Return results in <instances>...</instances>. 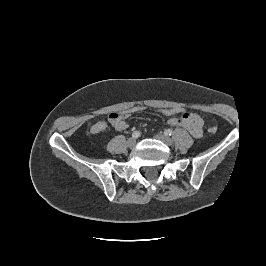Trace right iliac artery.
Segmentation results:
<instances>
[{"instance_id": "right-iliac-artery-1", "label": "right iliac artery", "mask_w": 266, "mask_h": 266, "mask_svg": "<svg viewBox=\"0 0 266 266\" xmlns=\"http://www.w3.org/2000/svg\"><path fill=\"white\" fill-rule=\"evenodd\" d=\"M139 136H140V132L139 131H135L132 134V137H134V138H138Z\"/></svg>"}]
</instances>
